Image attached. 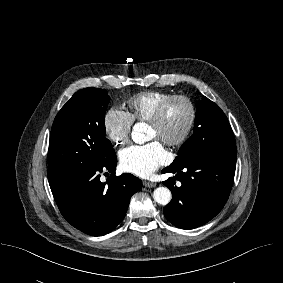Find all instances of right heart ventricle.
Returning <instances> with one entry per match:
<instances>
[{
    "mask_svg": "<svg viewBox=\"0 0 283 283\" xmlns=\"http://www.w3.org/2000/svg\"><path fill=\"white\" fill-rule=\"evenodd\" d=\"M170 95L157 90L136 93L126 102L127 113L132 122H148L159 104Z\"/></svg>",
    "mask_w": 283,
    "mask_h": 283,
    "instance_id": "right-heart-ventricle-1",
    "label": "right heart ventricle"
}]
</instances>
